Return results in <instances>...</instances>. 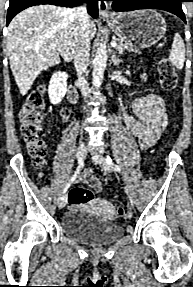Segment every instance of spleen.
Returning a JSON list of instances; mask_svg holds the SVG:
<instances>
[{
    "instance_id": "spleen-1",
    "label": "spleen",
    "mask_w": 193,
    "mask_h": 287,
    "mask_svg": "<svg viewBox=\"0 0 193 287\" xmlns=\"http://www.w3.org/2000/svg\"><path fill=\"white\" fill-rule=\"evenodd\" d=\"M169 59L176 68H183L185 62V45L179 33L174 35Z\"/></svg>"
}]
</instances>
